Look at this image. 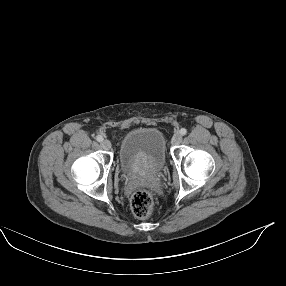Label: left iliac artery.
<instances>
[{
  "label": "left iliac artery",
  "mask_w": 286,
  "mask_h": 286,
  "mask_svg": "<svg viewBox=\"0 0 286 286\" xmlns=\"http://www.w3.org/2000/svg\"><path fill=\"white\" fill-rule=\"evenodd\" d=\"M187 133V130L185 129V128H182L181 130H180V134L181 135H185Z\"/></svg>",
  "instance_id": "44dca946"
}]
</instances>
